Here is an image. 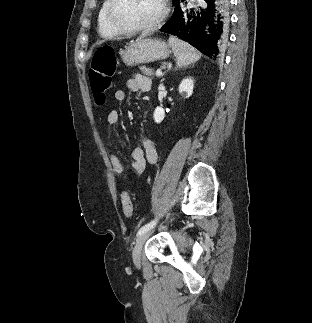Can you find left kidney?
<instances>
[{
  "label": "left kidney",
  "instance_id": "obj_1",
  "mask_svg": "<svg viewBox=\"0 0 312 323\" xmlns=\"http://www.w3.org/2000/svg\"><path fill=\"white\" fill-rule=\"evenodd\" d=\"M194 80L192 78H185V80H182L180 86H179V92L182 94V96H185V98H190L193 94V86ZM156 124H160L162 120L165 118V112L161 106H158L154 112L153 116Z\"/></svg>",
  "mask_w": 312,
  "mask_h": 323
}]
</instances>
